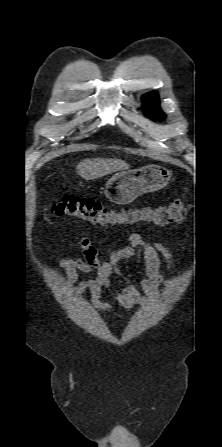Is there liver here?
Instances as JSON below:
<instances>
[{
    "label": "liver",
    "mask_w": 222,
    "mask_h": 447,
    "mask_svg": "<svg viewBox=\"0 0 222 447\" xmlns=\"http://www.w3.org/2000/svg\"><path fill=\"white\" fill-rule=\"evenodd\" d=\"M128 168L129 165L121 159L94 158L81 161L77 165L76 171L83 179L93 180Z\"/></svg>",
    "instance_id": "6515ba94"
}]
</instances>
